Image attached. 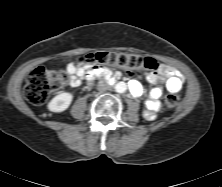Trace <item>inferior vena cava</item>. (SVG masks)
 Segmentation results:
<instances>
[{"label": "inferior vena cava", "mask_w": 222, "mask_h": 187, "mask_svg": "<svg viewBox=\"0 0 222 187\" xmlns=\"http://www.w3.org/2000/svg\"><path fill=\"white\" fill-rule=\"evenodd\" d=\"M108 87V84L105 80H100L99 84H98V90L99 91H103L104 89H106Z\"/></svg>", "instance_id": "inferior-vena-cava-1"}]
</instances>
